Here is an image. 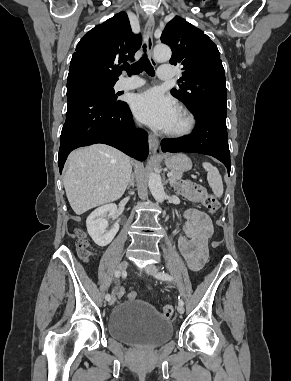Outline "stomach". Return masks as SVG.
Returning <instances> with one entry per match:
<instances>
[{
    "instance_id": "obj_1",
    "label": "stomach",
    "mask_w": 291,
    "mask_h": 381,
    "mask_svg": "<svg viewBox=\"0 0 291 381\" xmlns=\"http://www.w3.org/2000/svg\"><path fill=\"white\" fill-rule=\"evenodd\" d=\"M164 162L172 171L184 172L192 168L191 159L182 153L167 155Z\"/></svg>"
}]
</instances>
